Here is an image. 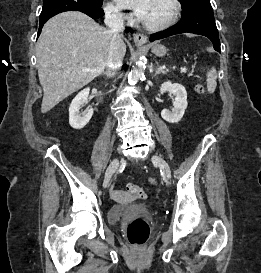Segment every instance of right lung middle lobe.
Instances as JSON below:
<instances>
[{
  "instance_id": "dd1d6c3e",
  "label": "right lung middle lobe",
  "mask_w": 261,
  "mask_h": 273,
  "mask_svg": "<svg viewBox=\"0 0 261 273\" xmlns=\"http://www.w3.org/2000/svg\"><path fill=\"white\" fill-rule=\"evenodd\" d=\"M86 1L98 4V5H102V3H103V0H86ZM44 2H46V1L44 0ZM43 9L44 10H51V9H53V7H51L49 5H44Z\"/></svg>"
}]
</instances>
